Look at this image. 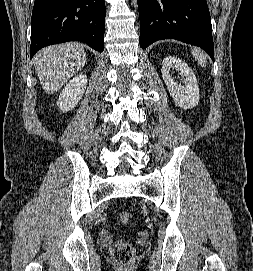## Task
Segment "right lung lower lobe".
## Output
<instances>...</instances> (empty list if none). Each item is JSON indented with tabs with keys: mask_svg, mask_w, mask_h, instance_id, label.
Here are the masks:
<instances>
[{
	"mask_svg": "<svg viewBox=\"0 0 253 271\" xmlns=\"http://www.w3.org/2000/svg\"><path fill=\"white\" fill-rule=\"evenodd\" d=\"M104 0H35L31 18L30 58L41 48L82 41L104 50Z\"/></svg>",
	"mask_w": 253,
	"mask_h": 271,
	"instance_id": "98d812e1",
	"label": "right lung lower lobe"
}]
</instances>
